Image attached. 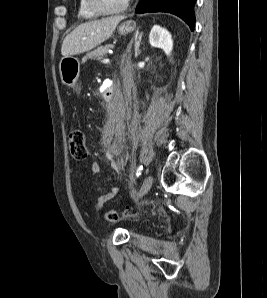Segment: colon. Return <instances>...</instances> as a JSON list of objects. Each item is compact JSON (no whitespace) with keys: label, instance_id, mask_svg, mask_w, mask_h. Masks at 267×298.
Segmentation results:
<instances>
[{"label":"colon","instance_id":"1","mask_svg":"<svg viewBox=\"0 0 267 298\" xmlns=\"http://www.w3.org/2000/svg\"><path fill=\"white\" fill-rule=\"evenodd\" d=\"M68 146L72 158L76 161H83L88 156L84 131L80 128L74 129L68 136ZM139 213H133L128 210L112 209L106 212L105 218L110 222H117L124 218H135Z\"/></svg>","mask_w":267,"mask_h":298}]
</instances>
